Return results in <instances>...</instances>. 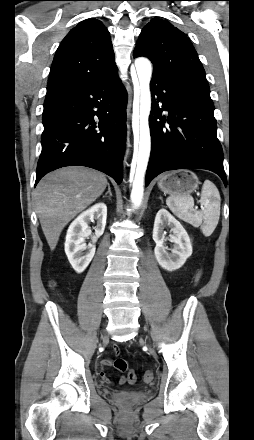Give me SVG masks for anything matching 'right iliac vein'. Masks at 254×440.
<instances>
[{
	"label": "right iliac vein",
	"mask_w": 254,
	"mask_h": 440,
	"mask_svg": "<svg viewBox=\"0 0 254 440\" xmlns=\"http://www.w3.org/2000/svg\"><path fill=\"white\" fill-rule=\"evenodd\" d=\"M102 340L105 342L108 340V336L106 335V333L103 334L102 336Z\"/></svg>",
	"instance_id": "63e3f726"
}]
</instances>
